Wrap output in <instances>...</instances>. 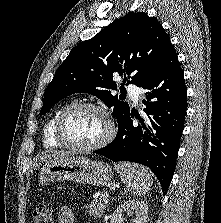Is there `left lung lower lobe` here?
I'll list each match as a JSON object with an SVG mask.
<instances>
[{
    "instance_id": "1",
    "label": "left lung lower lobe",
    "mask_w": 221,
    "mask_h": 223,
    "mask_svg": "<svg viewBox=\"0 0 221 223\" xmlns=\"http://www.w3.org/2000/svg\"><path fill=\"white\" fill-rule=\"evenodd\" d=\"M140 87L147 90L142 101L146 116H135L140 123L134 126L129 111L118 124L115 139L94 153L149 167L165 194L175 170L187 110L184 74L172 44L160 66Z\"/></svg>"
}]
</instances>
